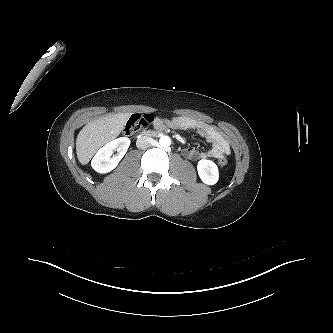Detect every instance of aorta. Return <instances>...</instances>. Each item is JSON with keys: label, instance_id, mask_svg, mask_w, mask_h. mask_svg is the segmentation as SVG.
<instances>
[{"label": "aorta", "instance_id": "762f6f07", "mask_svg": "<svg viewBox=\"0 0 333 333\" xmlns=\"http://www.w3.org/2000/svg\"><path fill=\"white\" fill-rule=\"evenodd\" d=\"M159 143L162 147H168L171 144V139L168 136H162L159 140Z\"/></svg>", "mask_w": 333, "mask_h": 333}]
</instances>
